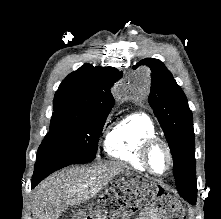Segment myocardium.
I'll return each instance as SVG.
<instances>
[{
	"mask_svg": "<svg viewBox=\"0 0 221 219\" xmlns=\"http://www.w3.org/2000/svg\"><path fill=\"white\" fill-rule=\"evenodd\" d=\"M156 146H161L165 150L167 157H168V167L164 173L155 172V170L152 168L151 163H150V153L152 149ZM139 157H140L141 162L145 166V168L152 175L157 176V177H162V176L167 175L171 171L173 167V163H174L172 150L169 144L158 136L147 138L146 140L142 142L140 146V150H139Z\"/></svg>",
	"mask_w": 221,
	"mask_h": 219,
	"instance_id": "f54148a6",
	"label": "myocardium"
}]
</instances>
